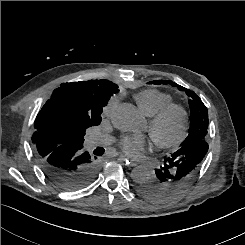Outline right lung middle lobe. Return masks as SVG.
<instances>
[{
  "instance_id": "dd1d6c3e",
  "label": "right lung middle lobe",
  "mask_w": 245,
  "mask_h": 245,
  "mask_svg": "<svg viewBox=\"0 0 245 245\" xmlns=\"http://www.w3.org/2000/svg\"><path fill=\"white\" fill-rule=\"evenodd\" d=\"M101 120H102L101 118L97 119L92 125H99Z\"/></svg>"
}]
</instances>
